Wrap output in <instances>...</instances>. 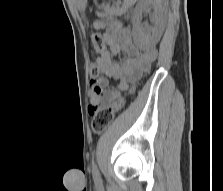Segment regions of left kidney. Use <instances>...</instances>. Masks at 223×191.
I'll return each mask as SVG.
<instances>
[{
	"label": "left kidney",
	"instance_id": "5707ae66",
	"mask_svg": "<svg viewBox=\"0 0 223 191\" xmlns=\"http://www.w3.org/2000/svg\"><path fill=\"white\" fill-rule=\"evenodd\" d=\"M167 0H142L133 16V32L138 42L143 46H151L158 42L161 37L166 15ZM153 10L151 19L152 26L143 27L141 24L142 14Z\"/></svg>",
	"mask_w": 223,
	"mask_h": 191
}]
</instances>
